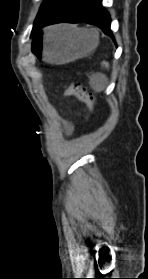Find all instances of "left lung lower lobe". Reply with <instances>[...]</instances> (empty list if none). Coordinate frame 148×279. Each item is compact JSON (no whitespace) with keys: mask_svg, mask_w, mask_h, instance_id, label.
Here are the masks:
<instances>
[{"mask_svg":"<svg viewBox=\"0 0 148 279\" xmlns=\"http://www.w3.org/2000/svg\"><path fill=\"white\" fill-rule=\"evenodd\" d=\"M101 2L102 0H65L46 19L37 25L33 34L44 26L51 24L86 22L98 26L106 35L114 39L110 30V15L104 9Z\"/></svg>","mask_w":148,"mask_h":279,"instance_id":"0a47b994","label":"left lung lower lobe"}]
</instances>
